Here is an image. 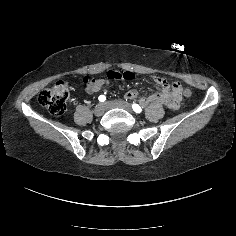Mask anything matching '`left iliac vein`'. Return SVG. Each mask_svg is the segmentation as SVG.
Returning <instances> with one entry per match:
<instances>
[{"instance_id":"4c4485c4","label":"left iliac vein","mask_w":236,"mask_h":236,"mask_svg":"<svg viewBox=\"0 0 236 236\" xmlns=\"http://www.w3.org/2000/svg\"><path fill=\"white\" fill-rule=\"evenodd\" d=\"M106 104L109 108H122L129 112L132 111L131 105L122 100L109 101Z\"/></svg>"}]
</instances>
